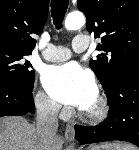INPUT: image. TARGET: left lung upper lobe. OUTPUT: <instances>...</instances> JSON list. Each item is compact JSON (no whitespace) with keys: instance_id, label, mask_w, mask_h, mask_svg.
Masks as SVG:
<instances>
[{"instance_id":"left-lung-upper-lobe-1","label":"left lung upper lobe","mask_w":139,"mask_h":150,"mask_svg":"<svg viewBox=\"0 0 139 150\" xmlns=\"http://www.w3.org/2000/svg\"><path fill=\"white\" fill-rule=\"evenodd\" d=\"M87 30L99 37L102 53L90 66L106 95L129 66L139 63V0H78Z\"/></svg>"}]
</instances>
